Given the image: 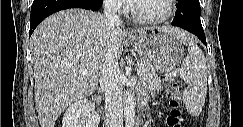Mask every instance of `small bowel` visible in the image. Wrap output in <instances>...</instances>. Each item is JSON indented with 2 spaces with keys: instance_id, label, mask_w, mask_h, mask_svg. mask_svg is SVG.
<instances>
[{
  "instance_id": "1",
  "label": "small bowel",
  "mask_w": 243,
  "mask_h": 127,
  "mask_svg": "<svg viewBox=\"0 0 243 127\" xmlns=\"http://www.w3.org/2000/svg\"><path fill=\"white\" fill-rule=\"evenodd\" d=\"M142 94H143V95H145V94H146L144 90L142 91Z\"/></svg>"
}]
</instances>
